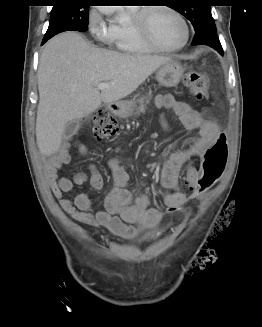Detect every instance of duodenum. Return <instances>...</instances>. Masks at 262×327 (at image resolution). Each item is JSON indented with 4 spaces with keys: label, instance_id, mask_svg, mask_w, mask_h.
<instances>
[{
    "label": "duodenum",
    "instance_id": "410a0bca",
    "mask_svg": "<svg viewBox=\"0 0 262 327\" xmlns=\"http://www.w3.org/2000/svg\"><path fill=\"white\" fill-rule=\"evenodd\" d=\"M112 111L114 112V114H118V113H120V111H121V106H120L119 104H115V105H113V107H112Z\"/></svg>",
    "mask_w": 262,
    "mask_h": 327
}]
</instances>
